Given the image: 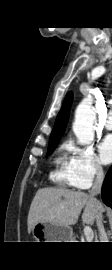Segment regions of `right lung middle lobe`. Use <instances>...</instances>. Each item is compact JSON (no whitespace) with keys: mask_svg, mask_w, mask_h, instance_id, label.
Here are the masks:
<instances>
[{"mask_svg":"<svg viewBox=\"0 0 112 270\" xmlns=\"http://www.w3.org/2000/svg\"><path fill=\"white\" fill-rule=\"evenodd\" d=\"M58 142L49 143L47 155L54 151Z\"/></svg>","mask_w":112,"mask_h":270,"instance_id":"obj_1","label":"right lung middle lobe"}]
</instances>
